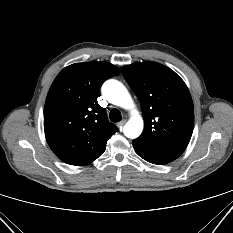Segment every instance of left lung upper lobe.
I'll list each match as a JSON object with an SVG mask.
<instances>
[{
    "label": "left lung upper lobe",
    "mask_w": 233,
    "mask_h": 233,
    "mask_svg": "<svg viewBox=\"0 0 233 233\" xmlns=\"http://www.w3.org/2000/svg\"><path fill=\"white\" fill-rule=\"evenodd\" d=\"M122 72L142 107L145 127L137 140L187 147L194 108L183 80L170 68L152 61L124 66Z\"/></svg>",
    "instance_id": "left-lung-upper-lobe-1"
}]
</instances>
